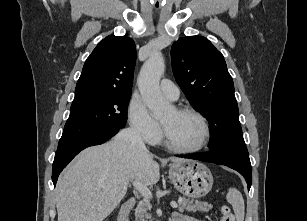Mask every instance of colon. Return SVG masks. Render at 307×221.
Segmentation results:
<instances>
[{"label": "colon", "instance_id": "1", "mask_svg": "<svg viewBox=\"0 0 307 221\" xmlns=\"http://www.w3.org/2000/svg\"><path fill=\"white\" fill-rule=\"evenodd\" d=\"M221 221H235V216L228 206L221 207Z\"/></svg>", "mask_w": 307, "mask_h": 221}]
</instances>
